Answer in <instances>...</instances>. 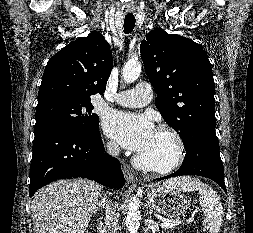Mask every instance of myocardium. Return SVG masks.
Masks as SVG:
<instances>
[{"label": "myocardium", "mask_w": 253, "mask_h": 233, "mask_svg": "<svg viewBox=\"0 0 253 233\" xmlns=\"http://www.w3.org/2000/svg\"><path fill=\"white\" fill-rule=\"evenodd\" d=\"M156 131L167 134L173 140L176 148L174 158L169 163L158 164L145 161L144 159L136 155L134 157V165L137 168L148 172L167 174L177 169L184 162L186 158V145L181 134L170 125L161 124L156 128Z\"/></svg>", "instance_id": "f54148a6"}]
</instances>
